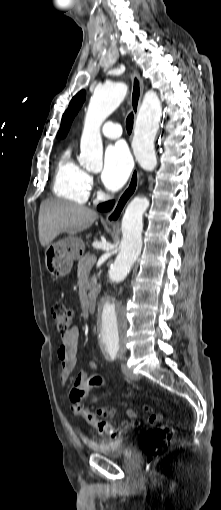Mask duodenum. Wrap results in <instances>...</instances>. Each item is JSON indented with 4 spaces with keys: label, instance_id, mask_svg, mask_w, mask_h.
<instances>
[{
    "label": "duodenum",
    "instance_id": "410a0bca",
    "mask_svg": "<svg viewBox=\"0 0 221 510\" xmlns=\"http://www.w3.org/2000/svg\"><path fill=\"white\" fill-rule=\"evenodd\" d=\"M97 300H98V295L97 294H94V295H92L89 298V301H88L87 306H86V309H87L88 313H92V312L95 311L96 306H97Z\"/></svg>",
    "mask_w": 221,
    "mask_h": 510
}]
</instances>
